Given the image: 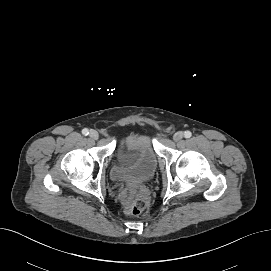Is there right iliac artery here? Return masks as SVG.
I'll use <instances>...</instances> for the list:
<instances>
[{
    "label": "right iliac artery",
    "instance_id": "right-iliac-artery-1",
    "mask_svg": "<svg viewBox=\"0 0 271 271\" xmlns=\"http://www.w3.org/2000/svg\"><path fill=\"white\" fill-rule=\"evenodd\" d=\"M82 134L85 135V136H87V135L89 134L88 129H86V128L83 129V130H82Z\"/></svg>",
    "mask_w": 271,
    "mask_h": 271
}]
</instances>
